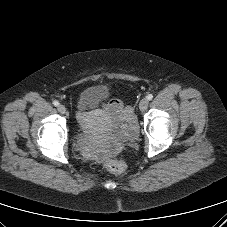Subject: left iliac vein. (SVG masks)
Wrapping results in <instances>:
<instances>
[{
    "mask_svg": "<svg viewBox=\"0 0 227 227\" xmlns=\"http://www.w3.org/2000/svg\"><path fill=\"white\" fill-rule=\"evenodd\" d=\"M149 105L148 99L144 98L139 103V108L141 111H145Z\"/></svg>",
    "mask_w": 227,
    "mask_h": 227,
    "instance_id": "obj_1",
    "label": "left iliac vein"
}]
</instances>
